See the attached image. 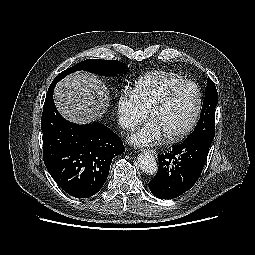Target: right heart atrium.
<instances>
[{
	"instance_id": "d8ad5b80",
	"label": "right heart atrium",
	"mask_w": 255,
	"mask_h": 255,
	"mask_svg": "<svg viewBox=\"0 0 255 255\" xmlns=\"http://www.w3.org/2000/svg\"><path fill=\"white\" fill-rule=\"evenodd\" d=\"M116 115L121 127L132 129L146 119L147 112L139 104L133 90L124 87L117 99Z\"/></svg>"
}]
</instances>
